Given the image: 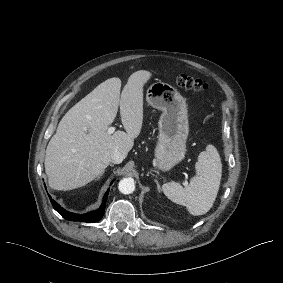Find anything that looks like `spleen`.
<instances>
[{
	"mask_svg": "<svg viewBox=\"0 0 283 283\" xmlns=\"http://www.w3.org/2000/svg\"><path fill=\"white\" fill-rule=\"evenodd\" d=\"M197 175L184 188L176 182L166 183L162 190L172 202L186 206L189 213L198 216L207 213L217 197L222 176L219 153L213 145L198 156Z\"/></svg>",
	"mask_w": 283,
	"mask_h": 283,
	"instance_id": "obj_1",
	"label": "spleen"
}]
</instances>
